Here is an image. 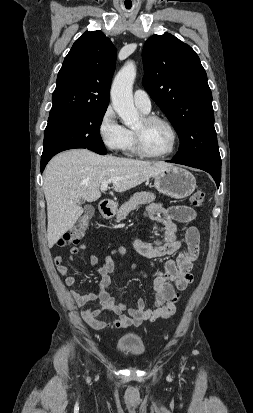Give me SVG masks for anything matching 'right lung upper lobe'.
<instances>
[{"label": "right lung upper lobe", "instance_id": "right-lung-upper-lobe-1", "mask_svg": "<svg viewBox=\"0 0 253 413\" xmlns=\"http://www.w3.org/2000/svg\"><path fill=\"white\" fill-rule=\"evenodd\" d=\"M116 48L101 31H86L73 44L57 76L49 115L107 109Z\"/></svg>", "mask_w": 253, "mask_h": 413}]
</instances>
